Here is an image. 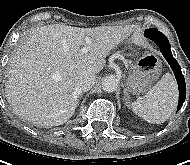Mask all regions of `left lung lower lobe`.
Instances as JSON below:
<instances>
[{"instance_id": "obj_1", "label": "left lung lower lobe", "mask_w": 190, "mask_h": 165, "mask_svg": "<svg viewBox=\"0 0 190 165\" xmlns=\"http://www.w3.org/2000/svg\"><path fill=\"white\" fill-rule=\"evenodd\" d=\"M149 38L159 46L163 56L168 61L174 72L179 87V103L177 110H180L186 97V85L184 76L181 72V67L176 61V59L173 57L170 49V43L168 39L164 36V34L160 32L158 34L150 36Z\"/></svg>"}]
</instances>
